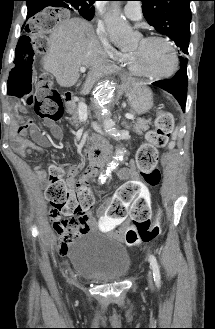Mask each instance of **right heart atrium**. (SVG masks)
I'll use <instances>...</instances> for the list:
<instances>
[{
	"instance_id": "obj_1",
	"label": "right heart atrium",
	"mask_w": 215,
	"mask_h": 329,
	"mask_svg": "<svg viewBox=\"0 0 215 329\" xmlns=\"http://www.w3.org/2000/svg\"><path fill=\"white\" fill-rule=\"evenodd\" d=\"M96 33H97V36H98L104 50L108 53V55L115 60H120L122 57V53L113 46L104 26L102 24H98Z\"/></svg>"
}]
</instances>
